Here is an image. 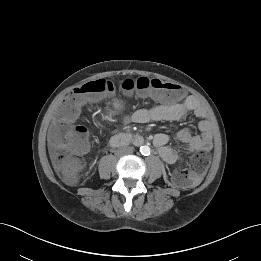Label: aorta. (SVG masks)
Wrapping results in <instances>:
<instances>
[{"instance_id":"1","label":"aorta","mask_w":261,"mask_h":261,"mask_svg":"<svg viewBox=\"0 0 261 261\" xmlns=\"http://www.w3.org/2000/svg\"><path fill=\"white\" fill-rule=\"evenodd\" d=\"M140 152L142 155H149L150 154V147L149 146H141Z\"/></svg>"}]
</instances>
